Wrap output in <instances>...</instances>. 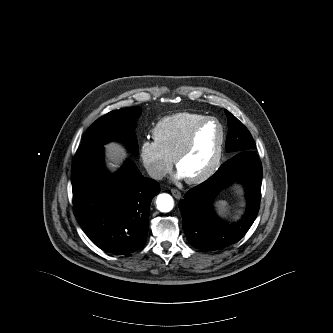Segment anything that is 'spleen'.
<instances>
[{
	"instance_id": "spleen-1",
	"label": "spleen",
	"mask_w": 333,
	"mask_h": 333,
	"mask_svg": "<svg viewBox=\"0 0 333 333\" xmlns=\"http://www.w3.org/2000/svg\"><path fill=\"white\" fill-rule=\"evenodd\" d=\"M215 204H216L219 214H221L222 216H227L229 214L230 208H229L227 201L219 200Z\"/></svg>"
}]
</instances>
